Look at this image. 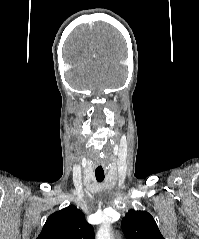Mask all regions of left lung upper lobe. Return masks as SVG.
<instances>
[{
  "instance_id": "5c2ea615",
  "label": "left lung upper lobe",
  "mask_w": 199,
  "mask_h": 239,
  "mask_svg": "<svg viewBox=\"0 0 199 239\" xmlns=\"http://www.w3.org/2000/svg\"><path fill=\"white\" fill-rule=\"evenodd\" d=\"M121 226L126 239H164L154 218L145 211L131 209Z\"/></svg>"
}]
</instances>
